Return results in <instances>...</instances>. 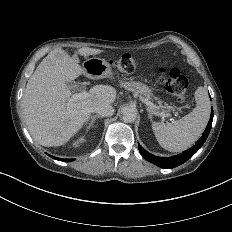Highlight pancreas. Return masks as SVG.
I'll return each mask as SVG.
<instances>
[{"label":"pancreas","mask_w":232,"mask_h":232,"mask_svg":"<svg viewBox=\"0 0 232 232\" xmlns=\"http://www.w3.org/2000/svg\"><path fill=\"white\" fill-rule=\"evenodd\" d=\"M146 98H149V97H148V96H145V97L140 96V99H141V100L146 99ZM159 103H160V101H159ZM170 109H171V107H166V110H170Z\"/></svg>","instance_id":"pancreas-1"}]
</instances>
